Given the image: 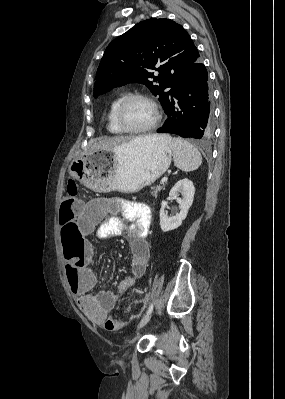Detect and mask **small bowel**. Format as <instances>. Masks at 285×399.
I'll list each match as a JSON object with an SVG mask.
<instances>
[{"mask_svg":"<svg viewBox=\"0 0 285 399\" xmlns=\"http://www.w3.org/2000/svg\"><path fill=\"white\" fill-rule=\"evenodd\" d=\"M115 206L122 213V217L110 216ZM95 207L102 215L96 238L103 240L111 236L125 235L131 253L130 272L121 277L115 291L102 289L96 296L92 295L90 291L98 284V277L89 266L93 258V248L85 243L86 265L76 278L69 280V286L81 311L96 324L104 326L108 331L116 332L121 328L122 323L108 316V312L116 306L119 297L129 290L146 271L150 258L146 237L150 229L151 215L145 203L131 200H119L116 205H112L100 199ZM84 209L85 206L76 208L75 221L78 224L82 223L77 232L78 238L90 232V227L84 224L85 221L81 217Z\"/></svg>","mask_w":285,"mask_h":399,"instance_id":"small-bowel-1","label":"small bowel"}]
</instances>
